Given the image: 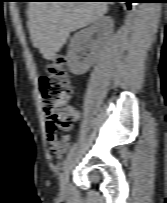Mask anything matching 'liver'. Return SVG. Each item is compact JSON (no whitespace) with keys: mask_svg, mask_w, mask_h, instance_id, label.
<instances>
[{"mask_svg":"<svg viewBox=\"0 0 167 203\" xmlns=\"http://www.w3.org/2000/svg\"><path fill=\"white\" fill-rule=\"evenodd\" d=\"M107 9L105 2H30L28 27L33 46L45 59L55 60L71 32L101 18Z\"/></svg>","mask_w":167,"mask_h":203,"instance_id":"6515ba94","label":"liver"}]
</instances>
